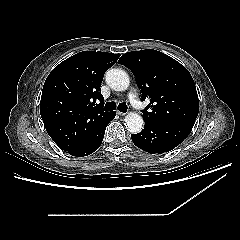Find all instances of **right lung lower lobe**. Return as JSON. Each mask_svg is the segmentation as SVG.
Returning <instances> with one entry per match:
<instances>
[{"instance_id": "right-lung-lower-lobe-1", "label": "right lung lower lobe", "mask_w": 240, "mask_h": 240, "mask_svg": "<svg viewBox=\"0 0 240 240\" xmlns=\"http://www.w3.org/2000/svg\"><path fill=\"white\" fill-rule=\"evenodd\" d=\"M115 115H116L115 112L110 113V115H109L108 119L106 120L105 124L99 129V131H98V133H97V135L95 136L94 139H92L90 142L80 146L77 149L66 151V152L69 153L72 156L83 157V156L90 155L91 153L96 151L103 141V137H104L105 129H106L107 125L109 124V122L111 120H113Z\"/></svg>"}]
</instances>
